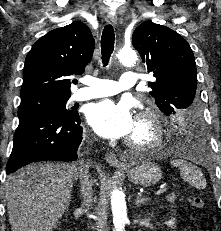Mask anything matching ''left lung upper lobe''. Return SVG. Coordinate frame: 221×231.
<instances>
[{"instance_id":"left-lung-upper-lobe-1","label":"left lung upper lobe","mask_w":221,"mask_h":231,"mask_svg":"<svg viewBox=\"0 0 221 231\" xmlns=\"http://www.w3.org/2000/svg\"><path fill=\"white\" fill-rule=\"evenodd\" d=\"M132 43L147 72L156 78L148 85L159 109L167 115L197 111L196 63L186 40L168 27L147 21L135 29Z\"/></svg>"}]
</instances>
